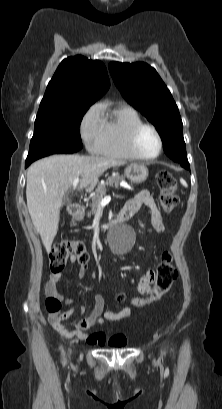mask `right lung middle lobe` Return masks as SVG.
<instances>
[{"instance_id":"obj_1","label":"right lung middle lobe","mask_w":222,"mask_h":409,"mask_svg":"<svg viewBox=\"0 0 222 409\" xmlns=\"http://www.w3.org/2000/svg\"><path fill=\"white\" fill-rule=\"evenodd\" d=\"M90 105H64L39 109L26 163L52 154L82 148L79 126Z\"/></svg>"}]
</instances>
